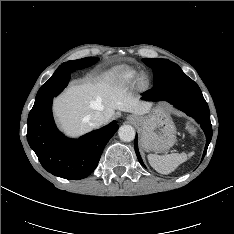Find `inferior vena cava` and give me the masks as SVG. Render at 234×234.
Listing matches in <instances>:
<instances>
[{"mask_svg": "<svg viewBox=\"0 0 234 234\" xmlns=\"http://www.w3.org/2000/svg\"><path fill=\"white\" fill-rule=\"evenodd\" d=\"M86 119L89 125L94 128L102 126L106 120L105 116L99 111H95L92 114L88 115Z\"/></svg>", "mask_w": 234, "mask_h": 234, "instance_id": "602c4592", "label": "inferior vena cava"}]
</instances>
